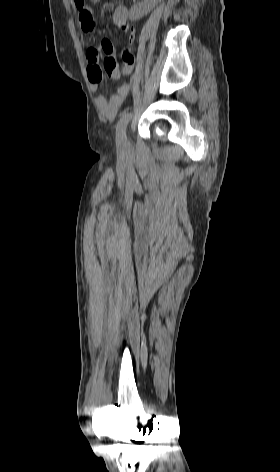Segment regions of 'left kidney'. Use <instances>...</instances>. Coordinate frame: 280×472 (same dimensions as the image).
<instances>
[{"label": "left kidney", "mask_w": 280, "mask_h": 472, "mask_svg": "<svg viewBox=\"0 0 280 472\" xmlns=\"http://www.w3.org/2000/svg\"><path fill=\"white\" fill-rule=\"evenodd\" d=\"M158 0H144V2L134 5L130 10V19L137 20L149 13L157 4Z\"/></svg>", "instance_id": "5707ae66"}]
</instances>
